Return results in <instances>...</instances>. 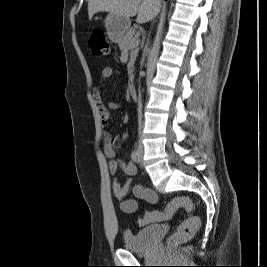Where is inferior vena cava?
I'll use <instances>...</instances> for the list:
<instances>
[{
    "label": "inferior vena cava",
    "instance_id": "obj_1",
    "mask_svg": "<svg viewBox=\"0 0 267 267\" xmlns=\"http://www.w3.org/2000/svg\"><path fill=\"white\" fill-rule=\"evenodd\" d=\"M141 110H142V104H141V101L139 100V103H138L139 120L141 119Z\"/></svg>",
    "mask_w": 267,
    "mask_h": 267
}]
</instances>
